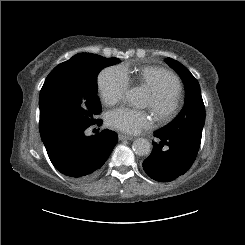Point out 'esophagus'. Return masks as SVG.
<instances>
[{
  "label": "esophagus",
  "instance_id": "obj_1",
  "mask_svg": "<svg viewBox=\"0 0 245 245\" xmlns=\"http://www.w3.org/2000/svg\"><path fill=\"white\" fill-rule=\"evenodd\" d=\"M118 138H119V140H121V141H124V140H133V139H134V137H132V136H130V135H125V134H122V133H120V134L118 135Z\"/></svg>",
  "mask_w": 245,
  "mask_h": 245
}]
</instances>
